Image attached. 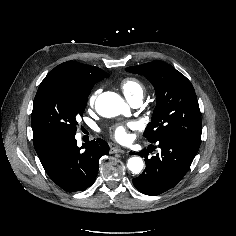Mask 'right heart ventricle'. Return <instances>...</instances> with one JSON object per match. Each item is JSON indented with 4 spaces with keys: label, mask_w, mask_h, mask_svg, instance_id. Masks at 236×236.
I'll list each match as a JSON object with an SVG mask.
<instances>
[{
    "label": "right heart ventricle",
    "mask_w": 236,
    "mask_h": 236,
    "mask_svg": "<svg viewBox=\"0 0 236 236\" xmlns=\"http://www.w3.org/2000/svg\"><path fill=\"white\" fill-rule=\"evenodd\" d=\"M120 87L125 97L130 101L135 98H141L144 95L145 87L143 83L134 77H128L121 81Z\"/></svg>",
    "instance_id": "e07e8e85"
}]
</instances>
